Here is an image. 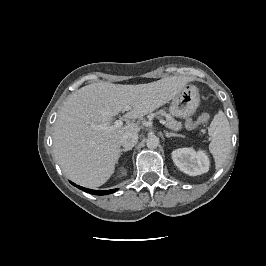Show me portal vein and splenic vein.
Here are the masks:
<instances>
[{
    "label": "portal vein and splenic vein",
    "instance_id": "1",
    "mask_svg": "<svg viewBox=\"0 0 266 266\" xmlns=\"http://www.w3.org/2000/svg\"><path fill=\"white\" fill-rule=\"evenodd\" d=\"M130 109H131L130 106L127 105V106L125 107L124 111H129ZM123 121H124L123 118L120 117L119 119H117V120L114 122V125H113L112 127H105V128L101 127V128H102V129H106V130H111V129L120 128V127L123 126ZM160 123L163 124L165 127H167V124H166L165 121L160 120Z\"/></svg>",
    "mask_w": 266,
    "mask_h": 266
}]
</instances>
